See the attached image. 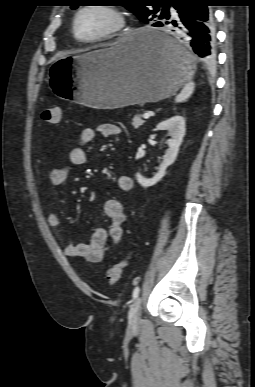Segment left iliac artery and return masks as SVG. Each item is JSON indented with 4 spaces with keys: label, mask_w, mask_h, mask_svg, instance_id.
Listing matches in <instances>:
<instances>
[{
    "label": "left iliac artery",
    "mask_w": 255,
    "mask_h": 387,
    "mask_svg": "<svg viewBox=\"0 0 255 387\" xmlns=\"http://www.w3.org/2000/svg\"><path fill=\"white\" fill-rule=\"evenodd\" d=\"M139 292H140V288H139V286H136V287L134 288V290H133V298H134V299L138 297Z\"/></svg>",
    "instance_id": "44dca946"
}]
</instances>
